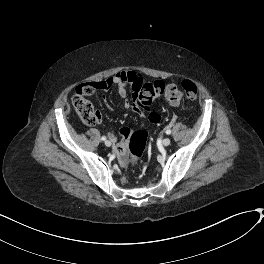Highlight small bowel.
I'll use <instances>...</instances> for the list:
<instances>
[{
    "mask_svg": "<svg viewBox=\"0 0 264 264\" xmlns=\"http://www.w3.org/2000/svg\"><path fill=\"white\" fill-rule=\"evenodd\" d=\"M143 82L144 78L141 75L134 71L125 70L111 76L104 81L96 83V85L101 91H103L101 95L102 99L110 110L111 108L108 105L105 91L108 90L111 85H115L117 87L118 94L121 97H126L128 91L132 90V99H127L125 101V107L135 114L141 116L143 114V109L136 103L135 98ZM170 104L172 106L178 105V103L173 102H170ZM148 119L152 124H158L161 120V117L158 113L152 112L149 114ZM130 132L131 130L128 127H122L119 129L117 134L108 133L109 138L116 143L114 154L121 165H126L128 162V153L124 148V144L125 139L130 135Z\"/></svg>",
    "mask_w": 264,
    "mask_h": 264,
    "instance_id": "small-bowel-1",
    "label": "small bowel"
}]
</instances>
